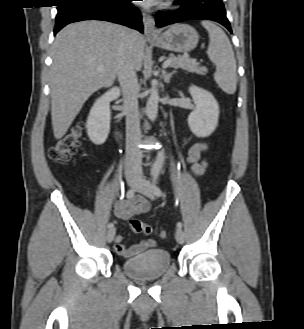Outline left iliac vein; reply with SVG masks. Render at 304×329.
<instances>
[{
    "label": "left iliac vein",
    "mask_w": 304,
    "mask_h": 329,
    "mask_svg": "<svg viewBox=\"0 0 304 329\" xmlns=\"http://www.w3.org/2000/svg\"><path fill=\"white\" fill-rule=\"evenodd\" d=\"M137 191L140 192L141 194L145 195L146 197L150 198V199H154L155 198V193L153 191V187L150 184V182L145 179V178H141L139 180V183L137 185ZM175 238L176 241L179 244H183L184 240H185V234L183 232V230L181 228H177L176 232H175Z\"/></svg>",
    "instance_id": "4c4485c4"
}]
</instances>
